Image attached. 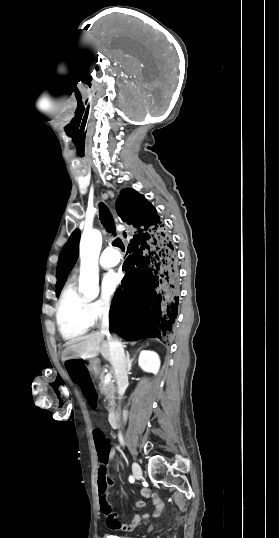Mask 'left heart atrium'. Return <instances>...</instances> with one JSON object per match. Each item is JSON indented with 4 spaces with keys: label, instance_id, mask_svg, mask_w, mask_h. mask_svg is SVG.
Returning a JSON list of instances; mask_svg holds the SVG:
<instances>
[{
    "label": "left heart atrium",
    "instance_id": "39dd6f15",
    "mask_svg": "<svg viewBox=\"0 0 279 538\" xmlns=\"http://www.w3.org/2000/svg\"><path fill=\"white\" fill-rule=\"evenodd\" d=\"M120 282V276L116 273L105 275L103 280V289L107 295H112Z\"/></svg>",
    "mask_w": 279,
    "mask_h": 538
}]
</instances>
